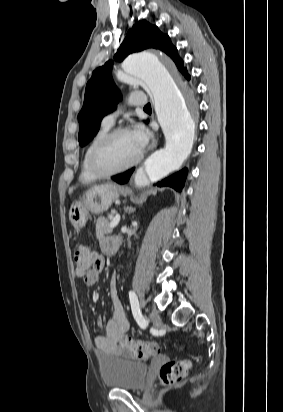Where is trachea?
I'll use <instances>...</instances> for the list:
<instances>
[{"mask_svg": "<svg viewBox=\"0 0 283 412\" xmlns=\"http://www.w3.org/2000/svg\"><path fill=\"white\" fill-rule=\"evenodd\" d=\"M144 109H145V110L151 109V105L148 103V104L144 107Z\"/></svg>", "mask_w": 283, "mask_h": 412, "instance_id": "obj_1", "label": "trachea"}]
</instances>
